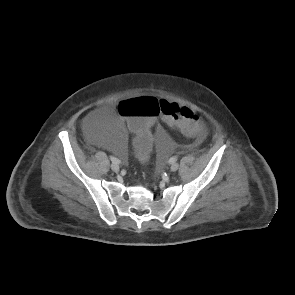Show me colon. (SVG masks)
I'll use <instances>...</instances> for the list:
<instances>
[{"label": "colon", "mask_w": 295, "mask_h": 295, "mask_svg": "<svg viewBox=\"0 0 295 295\" xmlns=\"http://www.w3.org/2000/svg\"><path fill=\"white\" fill-rule=\"evenodd\" d=\"M117 121L135 135L132 138V158L139 165L148 164L153 158L154 142L149 132L156 121H168L183 134L201 137L205 127L190 106H181L178 100L168 102L146 94L120 101L116 107Z\"/></svg>", "instance_id": "colon-1"}]
</instances>
